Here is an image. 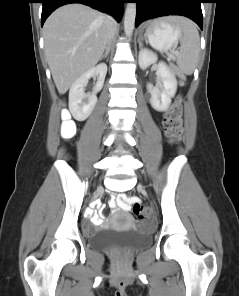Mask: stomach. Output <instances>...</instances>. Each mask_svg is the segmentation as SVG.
I'll return each mask as SVG.
<instances>
[{
	"label": "stomach",
	"instance_id": "1",
	"mask_svg": "<svg viewBox=\"0 0 239 296\" xmlns=\"http://www.w3.org/2000/svg\"><path fill=\"white\" fill-rule=\"evenodd\" d=\"M179 28L161 23L146 30V36L151 45L158 50H168L175 44L180 37Z\"/></svg>",
	"mask_w": 239,
	"mask_h": 296
}]
</instances>
